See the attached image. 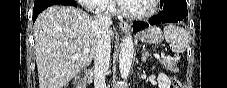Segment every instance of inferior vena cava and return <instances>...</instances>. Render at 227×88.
<instances>
[{
  "mask_svg": "<svg viewBox=\"0 0 227 88\" xmlns=\"http://www.w3.org/2000/svg\"><path fill=\"white\" fill-rule=\"evenodd\" d=\"M112 19L101 13L96 14V53L94 58V84L95 88H106L105 76L109 68L110 61V35L109 27Z\"/></svg>",
  "mask_w": 227,
  "mask_h": 88,
  "instance_id": "obj_1",
  "label": "inferior vena cava"
}]
</instances>
